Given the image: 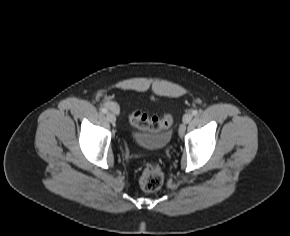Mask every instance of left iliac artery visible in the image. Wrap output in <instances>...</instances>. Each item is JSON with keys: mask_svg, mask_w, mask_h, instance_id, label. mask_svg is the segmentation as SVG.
<instances>
[{"mask_svg": "<svg viewBox=\"0 0 290 236\" xmlns=\"http://www.w3.org/2000/svg\"><path fill=\"white\" fill-rule=\"evenodd\" d=\"M192 114H193L194 116L197 115V114H198V110H196V109L193 110V111H192Z\"/></svg>", "mask_w": 290, "mask_h": 236, "instance_id": "left-iliac-artery-1", "label": "left iliac artery"}]
</instances>
